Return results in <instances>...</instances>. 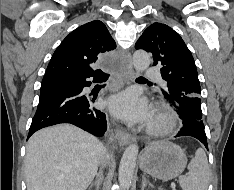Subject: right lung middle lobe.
I'll use <instances>...</instances> for the list:
<instances>
[{"label":"right lung middle lobe","mask_w":234,"mask_h":190,"mask_svg":"<svg viewBox=\"0 0 234 190\" xmlns=\"http://www.w3.org/2000/svg\"><path fill=\"white\" fill-rule=\"evenodd\" d=\"M48 83H49V80H43V81H42L41 87H43L44 85H46V84H48Z\"/></svg>","instance_id":"right-lung-middle-lobe-1"}]
</instances>
